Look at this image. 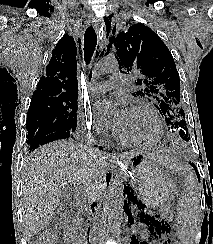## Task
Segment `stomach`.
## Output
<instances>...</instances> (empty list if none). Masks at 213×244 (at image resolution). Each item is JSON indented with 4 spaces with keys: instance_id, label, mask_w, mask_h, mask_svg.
Masks as SVG:
<instances>
[{
    "instance_id": "obj_1",
    "label": "stomach",
    "mask_w": 213,
    "mask_h": 244,
    "mask_svg": "<svg viewBox=\"0 0 213 244\" xmlns=\"http://www.w3.org/2000/svg\"><path fill=\"white\" fill-rule=\"evenodd\" d=\"M153 153V149H140L139 154L129 160L125 176L146 206L163 209L177 196L179 184L164 170V163L147 155Z\"/></svg>"
}]
</instances>
